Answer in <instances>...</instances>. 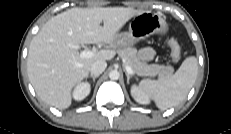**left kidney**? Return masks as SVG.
I'll use <instances>...</instances> for the list:
<instances>
[{
	"label": "left kidney",
	"instance_id": "obj_1",
	"mask_svg": "<svg viewBox=\"0 0 231 134\" xmlns=\"http://www.w3.org/2000/svg\"><path fill=\"white\" fill-rule=\"evenodd\" d=\"M131 95L134 98V100L138 102L139 104H149L150 103L148 95L136 85H132Z\"/></svg>",
	"mask_w": 231,
	"mask_h": 134
}]
</instances>
